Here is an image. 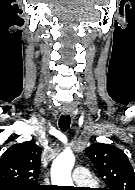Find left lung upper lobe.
Returning <instances> with one entry per match:
<instances>
[{
	"instance_id": "left-lung-upper-lobe-1",
	"label": "left lung upper lobe",
	"mask_w": 135,
	"mask_h": 190,
	"mask_svg": "<svg viewBox=\"0 0 135 190\" xmlns=\"http://www.w3.org/2000/svg\"><path fill=\"white\" fill-rule=\"evenodd\" d=\"M86 153L107 184L105 190H135V172L121 149L95 143L86 148Z\"/></svg>"
}]
</instances>
